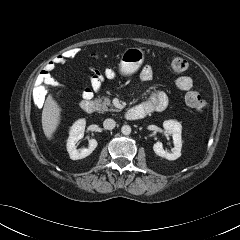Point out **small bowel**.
I'll list each match as a JSON object with an SVG mask.
<instances>
[{
	"label": "small bowel",
	"mask_w": 240,
	"mask_h": 240,
	"mask_svg": "<svg viewBox=\"0 0 240 240\" xmlns=\"http://www.w3.org/2000/svg\"><path fill=\"white\" fill-rule=\"evenodd\" d=\"M94 59H100V56L96 53L91 54ZM64 64L58 55L50 60L45 67L39 72L35 79V86L39 87L41 85H48L51 87H59L60 84L53 77L52 72L55 70L56 66ZM117 76L116 72L109 66H105L102 71L98 69H93L90 73V87H86L81 91V96L84 99H91L94 93L101 91L103 82L105 79H114ZM153 71L150 65H145L141 69L140 78L142 81H149L152 79ZM176 88L179 91H188L193 88V80L189 76H181L176 80ZM168 96L163 91L153 92L147 100L139 104L146 111V113L151 112H161L168 106Z\"/></svg>",
	"instance_id": "c3829d8e"
}]
</instances>
